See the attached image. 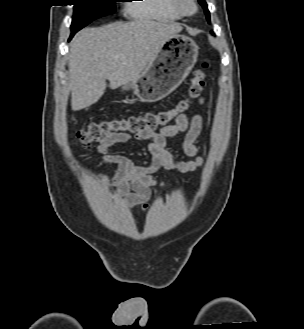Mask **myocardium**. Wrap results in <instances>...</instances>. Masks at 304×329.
I'll return each instance as SVG.
<instances>
[{
  "label": "myocardium",
  "mask_w": 304,
  "mask_h": 329,
  "mask_svg": "<svg viewBox=\"0 0 304 329\" xmlns=\"http://www.w3.org/2000/svg\"><path fill=\"white\" fill-rule=\"evenodd\" d=\"M171 4L181 16H193L198 11L195 0H171Z\"/></svg>",
  "instance_id": "obj_1"
}]
</instances>
